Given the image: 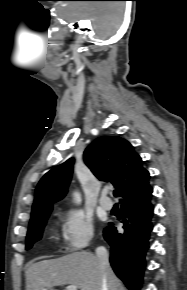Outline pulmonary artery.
Returning <instances> with one entry per match:
<instances>
[{
  "label": "pulmonary artery",
  "instance_id": "pulmonary-artery-1",
  "mask_svg": "<svg viewBox=\"0 0 187 290\" xmlns=\"http://www.w3.org/2000/svg\"><path fill=\"white\" fill-rule=\"evenodd\" d=\"M100 206L105 210H111L113 207L112 201L106 196V193H103L99 198Z\"/></svg>",
  "mask_w": 187,
  "mask_h": 290
}]
</instances>
